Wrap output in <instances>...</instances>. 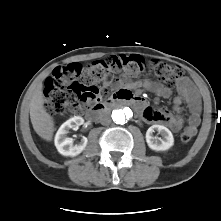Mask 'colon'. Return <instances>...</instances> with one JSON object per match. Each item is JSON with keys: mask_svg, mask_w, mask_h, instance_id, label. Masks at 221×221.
<instances>
[{"mask_svg": "<svg viewBox=\"0 0 221 221\" xmlns=\"http://www.w3.org/2000/svg\"><path fill=\"white\" fill-rule=\"evenodd\" d=\"M122 70L128 77L148 70L167 89H172L184 76L177 65L153 60L145 63L139 56H111L88 65L71 63L57 67L47 78L44 88V108L50 115H66L85 108L97 100L98 84L105 82L112 71ZM193 135L183 132L181 140L188 142Z\"/></svg>", "mask_w": 221, "mask_h": 221, "instance_id": "1", "label": "colon"}]
</instances>
